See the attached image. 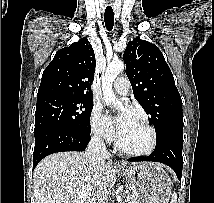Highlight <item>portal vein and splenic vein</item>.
I'll return each instance as SVG.
<instances>
[{
	"label": "portal vein and splenic vein",
	"instance_id": "obj_1",
	"mask_svg": "<svg viewBox=\"0 0 214 203\" xmlns=\"http://www.w3.org/2000/svg\"><path fill=\"white\" fill-rule=\"evenodd\" d=\"M77 194L79 195V197L81 198H85L86 197V192L85 191H79L77 192ZM129 197H127V201H129Z\"/></svg>",
	"mask_w": 214,
	"mask_h": 203
}]
</instances>
